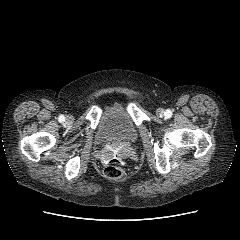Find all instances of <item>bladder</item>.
<instances>
[{"mask_svg":"<svg viewBox=\"0 0 240 240\" xmlns=\"http://www.w3.org/2000/svg\"><path fill=\"white\" fill-rule=\"evenodd\" d=\"M138 138V130L131 114L121 106L106 110L97 127L98 143H133Z\"/></svg>","mask_w":240,"mask_h":240,"instance_id":"obj_1","label":"bladder"}]
</instances>
